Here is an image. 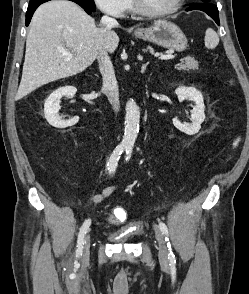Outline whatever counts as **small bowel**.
<instances>
[{"label":"small bowel","instance_id":"c3829d8e","mask_svg":"<svg viewBox=\"0 0 249 294\" xmlns=\"http://www.w3.org/2000/svg\"><path fill=\"white\" fill-rule=\"evenodd\" d=\"M119 189V186L109 185L101 189L98 193L91 196V203L93 205H99L104 200H106L108 197H110L114 192H116ZM119 212V209H115L111 215V219L117 223H120L121 221L125 220V217H116V214Z\"/></svg>","mask_w":249,"mask_h":294}]
</instances>
